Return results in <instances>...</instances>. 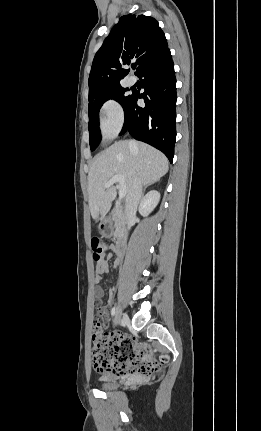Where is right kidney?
I'll use <instances>...</instances> for the list:
<instances>
[{"label":"right kidney","instance_id":"1","mask_svg":"<svg viewBox=\"0 0 261 431\" xmlns=\"http://www.w3.org/2000/svg\"><path fill=\"white\" fill-rule=\"evenodd\" d=\"M160 200V193L156 190H152L146 194L141 200L139 212L142 216H148L154 208L157 206Z\"/></svg>","mask_w":261,"mask_h":431}]
</instances>
